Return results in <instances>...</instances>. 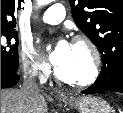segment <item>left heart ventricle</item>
I'll use <instances>...</instances> for the list:
<instances>
[{
    "instance_id": "b2bd125f",
    "label": "left heart ventricle",
    "mask_w": 123,
    "mask_h": 113,
    "mask_svg": "<svg viewBox=\"0 0 123 113\" xmlns=\"http://www.w3.org/2000/svg\"><path fill=\"white\" fill-rule=\"evenodd\" d=\"M57 68L64 77L73 79L84 78L90 72V54L84 46L72 44L68 58Z\"/></svg>"
}]
</instances>
